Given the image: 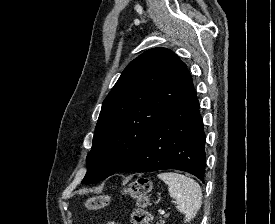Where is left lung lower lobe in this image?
Here are the masks:
<instances>
[{
    "mask_svg": "<svg viewBox=\"0 0 275 224\" xmlns=\"http://www.w3.org/2000/svg\"><path fill=\"white\" fill-rule=\"evenodd\" d=\"M205 159V132L192 84L155 126L127 172L177 169L204 182Z\"/></svg>",
    "mask_w": 275,
    "mask_h": 224,
    "instance_id": "0a47b994",
    "label": "left lung lower lobe"
}]
</instances>
